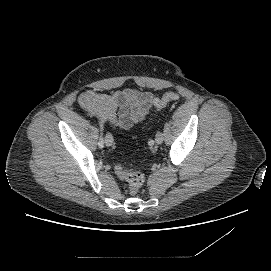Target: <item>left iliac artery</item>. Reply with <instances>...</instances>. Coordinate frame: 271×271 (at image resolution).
<instances>
[{"mask_svg": "<svg viewBox=\"0 0 271 271\" xmlns=\"http://www.w3.org/2000/svg\"><path fill=\"white\" fill-rule=\"evenodd\" d=\"M148 144H149V146H153L154 145V141L153 140H149Z\"/></svg>", "mask_w": 271, "mask_h": 271, "instance_id": "1", "label": "left iliac artery"}]
</instances>
